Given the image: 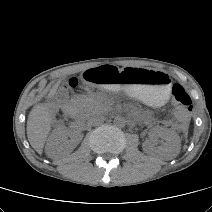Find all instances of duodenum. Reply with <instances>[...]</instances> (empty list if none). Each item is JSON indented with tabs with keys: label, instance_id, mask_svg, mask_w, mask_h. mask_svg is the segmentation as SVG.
I'll return each instance as SVG.
<instances>
[{
	"label": "duodenum",
	"instance_id": "duodenum-1",
	"mask_svg": "<svg viewBox=\"0 0 212 212\" xmlns=\"http://www.w3.org/2000/svg\"><path fill=\"white\" fill-rule=\"evenodd\" d=\"M63 112L68 117H73L75 114V109L71 104H66L63 107Z\"/></svg>",
	"mask_w": 212,
	"mask_h": 212
}]
</instances>
